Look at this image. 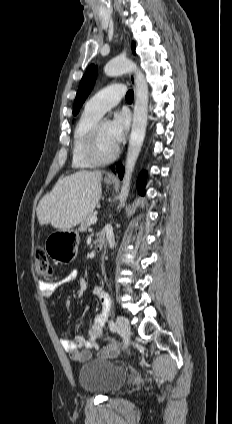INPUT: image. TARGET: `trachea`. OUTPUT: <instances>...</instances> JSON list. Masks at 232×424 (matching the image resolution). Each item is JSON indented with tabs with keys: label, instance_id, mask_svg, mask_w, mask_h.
<instances>
[{
	"label": "trachea",
	"instance_id": "3493384b",
	"mask_svg": "<svg viewBox=\"0 0 232 424\" xmlns=\"http://www.w3.org/2000/svg\"><path fill=\"white\" fill-rule=\"evenodd\" d=\"M133 98H134V92L133 90H129L126 94V100L131 102L133 101Z\"/></svg>",
	"mask_w": 232,
	"mask_h": 424
}]
</instances>
